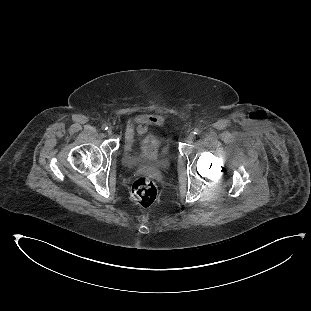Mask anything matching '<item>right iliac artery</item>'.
<instances>
[{"label":"right iliac artery","mask_w":311,"mask_h":311,"mask_svg":"<svg viewBox=\"0 0 311 311\" xmlns=\"http://www.w3.org/2000/svg\"><path fill=\"white\" fill-rule=\"evenodd\" d=\"M102 129H103V130H107V129H108V126H107L106 124H103V125H102Z\"/></svg>","instance_id":"82829eb1"}]
</instances>
